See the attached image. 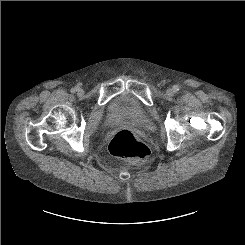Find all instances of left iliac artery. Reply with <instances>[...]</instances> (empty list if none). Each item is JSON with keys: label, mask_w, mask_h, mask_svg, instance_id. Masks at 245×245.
<instances>
[{"label": "left iliac artery", "mask_w": 245, "mask_h": 245, "mask_svg": "<svg viewBox=\"0 0 245 245\" xmlns=\"http://www.w3.org/2000/svg\"><path fill=\"white\" fill-rule=\"evenodd\" d=\"M174 93H177L179 91V87L177 85L173 86L172 88Z\"/></svg>", "instance_id": "1"}]
</instances>
